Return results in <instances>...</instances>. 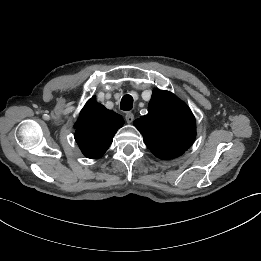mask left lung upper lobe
<instances>
[{"label": "left lung upper lobe", "mask_w": 261, "mask_h": 261, "mask_svg": "<svg viewBox=\"0 0 261 261\" xmlns=\"http://www.w3.org/2000/svg\"><path fill=\"white\" fill-rule=\"evenodd\" d=\"M134 125L151 152L164 160L182 155L196 137L191 110L169 91L155 90L148 105V114L136 119Z\"/></svg>", "instance_id": "left-lung-upper-lobe-1"}]
</instances>
